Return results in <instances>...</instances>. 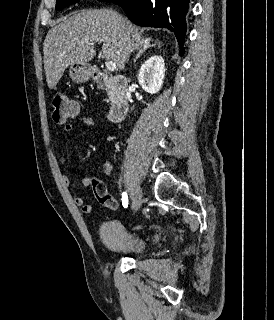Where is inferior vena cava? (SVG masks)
<instances>
[{
  "instance_id": "inferior-vena-cava-1",
  "label": "inferior vena cava",
  "mask_w": 274,
  "mask_h": 320,
  "mask_svg": "<svg viewBox=\"0 0 274 320\" xmlns=\"http://www.w3.org/2000/svg\"><path fill=\"white\" fill-rule=\"evenodd\" d=\"M131 32H132L131 28H125L124 38H126V40H130ZM130 50H131V46H130V48H128L127 52H130ZM128 58H129V56H128Z\"/></svg>"
}]
</instances>
